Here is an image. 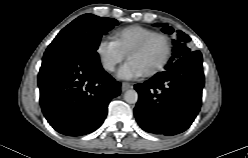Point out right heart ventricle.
Returning <instances> with one entry per match:
<instances>
[{"label": "right heart ventricle", "mask_w": 248, "mask_h": 158, "mask_svg": "<svg viewBox=\"0 0 248 158\" xmlns=\"http://www.w3.org/2000/svg\"><path fill=\"white\" fill-rule=\"evenodd\" d=\"M153 32L152 29L132 25L114 31L112 37L119 48L127 54L136 43Z\"/></svg>", "instance_id": "right-heart-ventricle-1"}]
</instances>
